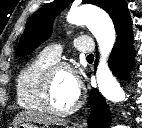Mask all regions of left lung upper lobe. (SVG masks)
<instances>
[{
	"mask_svg": "<svg viewBox=\"0 0 142 128\" xmlns=\"http://www.w3.org/2000/svg\"><path fill=\"white\" fill-rule=\"evenodd\" d=\"M73 0H54L36 11L29 19L16 50V55L23 57L30 54L52 32L54 18ZM104 9L112 18L116 33L129 25L131 17L124 0H83Z\"/></svg>",
	"mask_w": 142,
	"mask_h": 128,
	"instance_id": "5c2ea615",
	"label": "left lung upper lobe"
}]
</instances>
